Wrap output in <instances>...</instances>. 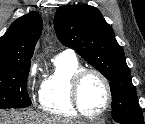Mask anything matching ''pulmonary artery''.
<instances>
[{"label":"pulmonary artery","mask_w":145,"mask_h":124,"mask_svg":"<svg viewBox=\"0 0 145 124\" xmlns=\"http://www.w3.org/2000/svg\"><path fill=\"white\" fill-rule=\"evenodd\" d=\"M61 54H65V55H69V56H75L74 51L70 50V49L63 51Z\"/></svg>","instance_id":"pulmonary-artery-1"}]
</instances>
